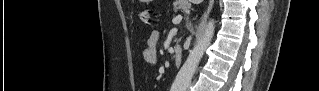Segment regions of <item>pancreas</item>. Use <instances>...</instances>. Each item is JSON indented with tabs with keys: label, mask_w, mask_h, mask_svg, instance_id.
<instances>
[{
	"label": "pancreas",
	"mask_w": 319,
	"mask_h": 91,
	"mask_svg": "<svg viewBox=\"0 0 319 91\" xmlns=\"http://www.w3.org/2000/svg\"><path fill=\"white\" fill-rule=\"evenodd\" d=\"M178 3L174 5V11H185L189 8V5L187 3H182L183 1H177Z\"/></svg>",
	"instance_id": "1"
}]
</instances>
